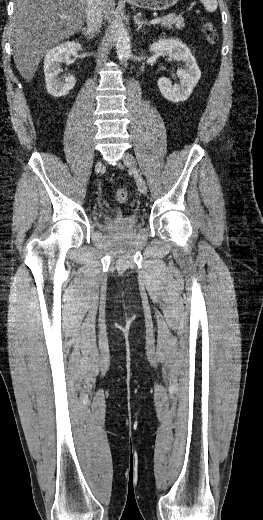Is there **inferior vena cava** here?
I'll return each mask as SVG.
<instances>
[{
    "instance_id": "obj_1",
    "label": "inferior vena cava",
    "mask_w": 263,
    "mask_h": 520,
    "mask_svg": "<svg viewBox=\"0 0 263 520\" xmlns=\"http://www.w3.org/2000/svg\"><path fill=\"white\" fill-rule=\"evenodd\" d=\"M86 22L87 30L94 36L102 25L103 0H86Z\"/></svg>"
}]
</instances>
